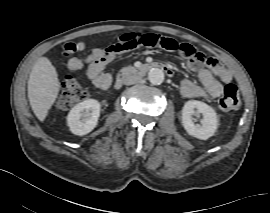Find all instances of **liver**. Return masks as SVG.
<instances>
[{
	"instance_id": "obj_1",
	"label": "liver",
	"mask_w": 270,
	"mask_h": 213,
	"mask_svg": "<svg viewBox=\"0 0 270 213\" xmlns=\"http://www.w3.org/2000/svg\"><path fill=\"white\" fill-rule=\"evenodd\" d=\"M60 83L51 61L40 57L34 64L28 80V98L31 108L40 121H44L54 104Z\"/></svg>"
}]
</instances>
